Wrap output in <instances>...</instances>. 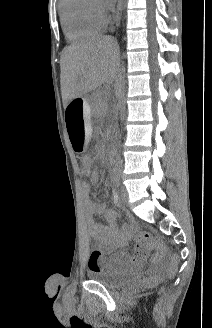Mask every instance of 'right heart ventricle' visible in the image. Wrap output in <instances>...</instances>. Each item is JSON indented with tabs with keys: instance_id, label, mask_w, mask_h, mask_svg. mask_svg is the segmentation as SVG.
<instances>
[{
	"instance_id": "e07e8e85",
	"label": "right heart ventricle",
	"mask_w": 212,
	"mask_h": 328,
	"mask_svg": "<svg viewBox=\"0 0 212 328\" xmlns=\"http://www.w3.org/2000/svg\"><path fill=\"white\" fill-rule=\"evenodd\" d=\"M60 15L64 32L71 40L92 37L106 25V18L92 0H61Z\"/></svg>"
}]
</instances>
